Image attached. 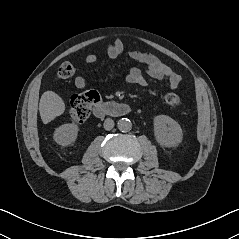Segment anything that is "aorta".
<instances>
[{
  "label": "aorta",
  "mask_w": 239,
  "mask_h": 239,
  "mask_svg": "<svg viewBox=\"0 0 239 239\" xmlns=\"http://www.w3.org/2000/svg\"><path fill=\"white\" fill-rule=\"evenodd\" d=\"M117 127L121 132H128L132 129V122L127 118H122L118 121Z\"/></svg>",
  "instance_id": "1"
}]
</instances>
